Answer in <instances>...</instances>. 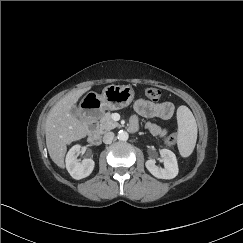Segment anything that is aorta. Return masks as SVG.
Wrapping results in <instances>:
<instances>
[{
    "instance_id": "aorta-1",
    "label": "aorta",
    "mask_w": 243,
    "mask_h": 243,
    "mask_svg": "<svg viewBox=\"0 0 243 243\" xmlns=\"http://www.w3.org/2000/svg\"><path fill=\"white\" fill-rule=\"evenodd\" d=\"M117 137L120 141H127L128 138H129V135L126 131L121 130V131L118 132Z\"/></svg>"
}]
</instances>
